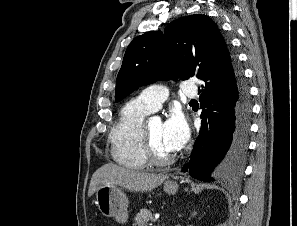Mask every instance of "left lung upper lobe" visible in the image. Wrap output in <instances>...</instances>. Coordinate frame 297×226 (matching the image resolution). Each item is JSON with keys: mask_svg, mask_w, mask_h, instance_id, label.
<instances>
[{"mask_svg": "<svg viewBox=\"0 0 297 226\" xmlns=\"http://www.w3.org/2000/svg\"><path fill=\"white\" fill-rule=\"evenodd\" d=\"M234 59L217 25L206 15H190L164 30L136 37L116 79V102L158 80L196 76L209 82L234 74Z\"/></svg>", "mask_w": 297, "mask_h": 226, "instance_id": "left-lung-upper-lobe-1", "label": "left lung upper lobe"}]
</instances>
